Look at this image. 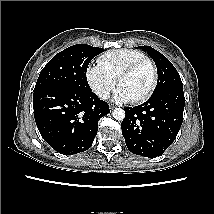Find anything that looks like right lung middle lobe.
Wrapping results in <instances>:
<instances>
[{"instance_id": "1", "label": "right lung middle lobe", "mask_w": 214, "mask_h": 214, "mask_svg": "<svg viewBox=\"0 0 214 214\" xmlns=\"http://www.w3.org/2000/svg\"><path fill=\"white\" fill-rule=\"evenodd\" d=\"M103 51V48L77 44L59 52L42 69L34 91L49 86L91 91L86 78L87 67Z\"/></svg>"}]
</instances>
